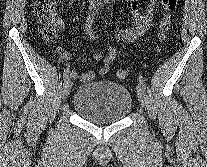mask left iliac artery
<instances>
[{
  "mask_svg": "<svg viewBox=\"0 0 207 167\" xmlns=\"http://www.w3.org/2000/svg\"><path fill=\"white\" fill-rule=\"evenodd\" d=\"M139 81L142 84L143 88L146 89L145 79L143 78L142 75H139Z\"/></svg>",
  "mask_w": 207,
  "mask_h": 167,
  "instance_id": "obj_1",
  "label": "left iliac artery"
}]
</instances>
